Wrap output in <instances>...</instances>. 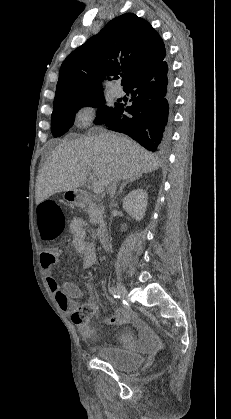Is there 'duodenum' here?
<instances>
[{"instance_id":"410a0bca","label":"duodenum","mask_w":231,"mask_h":419,"mask_svg":"<svg viewBox=\"0 0 231 419\" xmlns=\"http://www.w3.org/2000/svg\"><path fill=\"white\" fill-rule=\"evenodd\" d=\"M88 200V196L84 193H79L75 196V201L78 205H84ZM97 232L101 239V241L106 245L107 244V238H106V226L103 222H99L97 225Z\"/></svg>"}]
</instances>
